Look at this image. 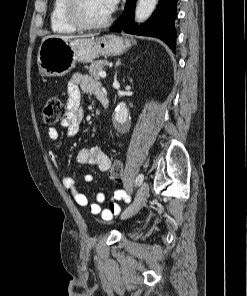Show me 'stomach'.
<instances>
[{
  "instance_id": "0dacf381",
  "label": "stomach",
  "mask_w": 247,
  "mask_h": 296,
  "mask_svg": "<svg viewBox=\"0 0 247 296\" xmlns=\"http://www.w3.org/2000/svg\"><path fill=\"white\" fill-rule=\"evenodd\" d=\"M133 43L135 41L115 35H105L96 39L79 37L74 40L48 37L42 40L39 47L37 63L40 72L45 76H64L76 62H93L100 55H120Z\"/></svg>"
}]
</instances>
